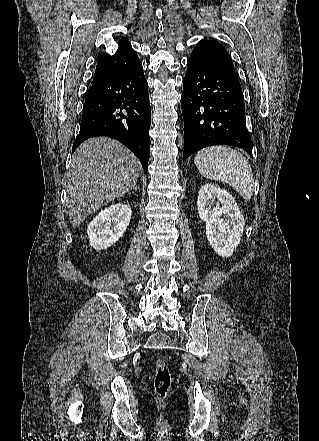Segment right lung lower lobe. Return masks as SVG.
Returning <instances> with one entry per match:
<instances>
[{"mask_svg": "<svg viewBox=\"0 0 319 441\" xmlns=\"http://www.w3.org/2000/svg\"><path fill=\"white\" fill-rule=\"evenodd\" d=\"M151 109L141 62L92 84L72 152L86 139L108 136L128 147L148 171Z\"/></svg>", "mask_w": 319, "mask_h": 441, "instance_id": "98d812e1", "label": "right lung lower lobe"}]
</instances>
